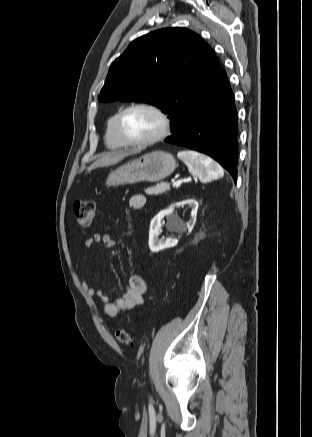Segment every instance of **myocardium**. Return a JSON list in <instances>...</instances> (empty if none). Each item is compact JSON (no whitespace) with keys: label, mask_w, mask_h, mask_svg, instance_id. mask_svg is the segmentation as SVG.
Masks as SVG:
<instances>
[{"label":"myocardium","mask_w":312,"mask_h":437,"mask_svg":"<svg viewBox=\"0 0 312 437\" xmlns=\"http://www.w3.org/2000/svg\"><path fill=\"white\" fill-rule=\"evenodd\" d=\"M136 108L148 109V110L152 111L160 119L161 128L157 134H155L154 136H152L150 138L143 139V140H134V139L129 138L126 135V133L123 130L124 117L129 111L136 109ZM116 131H117L119 137L121 138V140L126 145H129V146H148V145L155 144V143L163 140L164 138H166V136L168 135V133L170 131V120L167 117V115L158 106H156L152 103H148V102L132 103L119 112L117 119H116Z\"/></svg>","instance_id":"f54148a6"}]
</instances>
